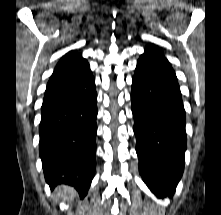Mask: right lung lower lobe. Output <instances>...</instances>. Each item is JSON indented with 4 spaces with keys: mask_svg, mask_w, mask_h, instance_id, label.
<instances>
[{
    "mask_svg": "<svg viewBox=\"0 0 221 215\" xmlns=\"http://www.w3.org/2000/svg\"><path fill=\"white\" fill-rule=\"evenodd\" d=\"M97 94L91 71L45 92L40 157L46 182L87 194L95 174Z\"/></svg>",
    "mask_w": 221,
    "mask_h": 215,
    "instance_id": "98d812e1",
    "label": "right lung lower lobe"
}]
</instances>
